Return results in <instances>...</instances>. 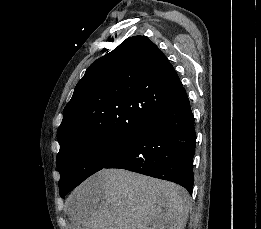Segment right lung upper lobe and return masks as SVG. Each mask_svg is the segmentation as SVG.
<instances>
[{
	"label": "right lung upper lobe",
	"instance_id": "1",
	"mask_svg": "<svg viewBox=\"0 0 261 229\" xmlns=\"http://www.w3.org/2000/svg\"><path fill=\"white\" fill-rule=\"evenodd\" d=\"M182 88L162 51L129 37L87 69L63 111L60 146L81 137L134 138Z\"/></svg>",
	"mask_w": 261,
	"mask_h": 229
}]
</instances>
